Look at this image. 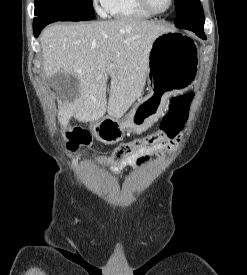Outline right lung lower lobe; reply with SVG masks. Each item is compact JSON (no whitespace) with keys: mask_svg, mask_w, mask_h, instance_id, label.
<instances>
[{"mask_svg":"<svg viewBox=\"0 0 247 275\" xmlns=\"http://www.w3.org/2000/svg\"><path fill=\"white\" fill-rule=\"evenodd\" d=\"M58 21L55 18H42L41 20L33 21V31L35 37H38L41 30L48 24Z\"/></svg>","mask_w":247,"mask_h":275,"instance_id":"1","label":"right lung lower lobe"}]
</instances>
